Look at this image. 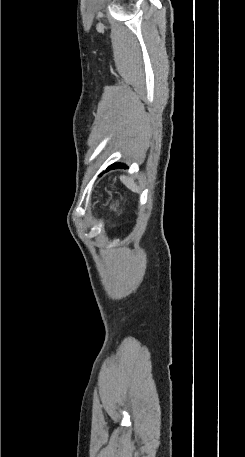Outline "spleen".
Here are the masks:
<instances>
[{
  "label": "spleen",
  "mask_w": 245,
  "mask_h": 457,
  "mask_svg": "<svg viewBox=\"0 0 245 457\" xmlns=\"http://www.w3.org/2000/svg\"><path fill=\"white\" fill-rule=\"evenodd\" d=\"M120 180L126 184L127 188L133 190V192H139L136 182H134L133 178H130V176H120Z\"/></svg>",
  "instance_id": "1"
}]
</instances>
